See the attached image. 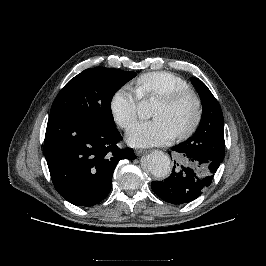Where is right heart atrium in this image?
I'll return each instance as SVG.
<instances>
[{"mask_svg": "<svg viewBox=\"0 0 266 266\" xmlns=\"http://www.w3.org/2000/svg\"><path fill=\"white\" fill-rule=\"evenodd\" d=\"M140 97L128 86L119 88L112 96L110 108L116 123L127 129L137 118Z\"/></svg>", "mask_w": 266, "mask_h": 266, "instance_id": "right-heart-atrium-1", "label": "right heart atrium"}]
</instances>
